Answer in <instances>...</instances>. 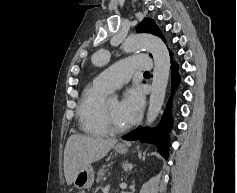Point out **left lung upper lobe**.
<instances>
[{
	"label": "left lung upper lobe",
	"mask_w": 237,
	"mask_h": 193,
	"mask_svg": "<svg viewBox=\"0 0 237 193\" xmlns=\"http://www.w3.org/2000/svg\"><path fill=\"white\" fill-rule=\"evenodd\" d=\"M137 32L139 33H151L153 35H157L163 39L165 42V38L161 33L160 29L156 25L155 21L150 18H145L137 27Z\"/></svg>",
	"instance_id": "obj_1"
}]
</instances>
